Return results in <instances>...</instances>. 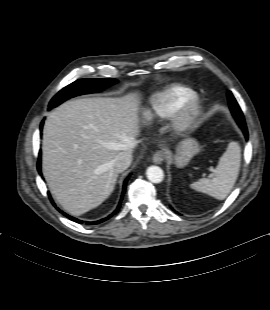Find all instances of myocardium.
<instances>
[{
	"instance_id": "f54148a6",
	"label": "myocardium",
	"mask_w": 270,
	"mask_h": 310,
	"mask_svg": "<svg viewBox=\"0 0 270 310\" xmlns=\"http://www.w3.org/2000/svg\"><path fill=\"white\" fill-rule=\"evenodd\" d=\"M203 103L197 94L184 100L169 119V130L173 135L183 136L193 131L199 124Z\"/></svg>"
}]
</instances>
